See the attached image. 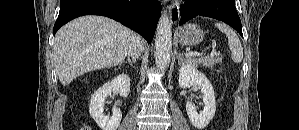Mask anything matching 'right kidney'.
<instances>
[{"label": "right kidney", "mask_w": 299, "mask_h": 130, "mask_svg": "<svg viewBox=\"0 0 299 130\" xmlns=\"http://www.w3.org/2000/svg\"><path fill=\"white\" fill-rule=\"evenodd\" d=\"M130 91V78L127 74H120L112 81L105 83L94 92L90 99L89 113L102 130H117L122 113L120 109L113 108L112 116L104 114V104L112 92L127 97Z\"/></svg>", "instance_id": "obj_1"}]
</instances>
